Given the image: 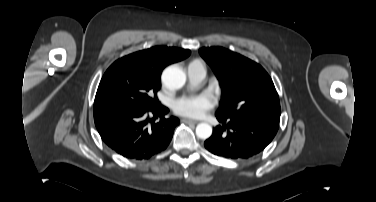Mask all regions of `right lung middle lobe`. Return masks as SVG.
<instances>
[{"instance_id":"1","label":"right lung middle lobe","mask_w":376,"mask_h":202,"mask_svg":"<svg viewBox=\"0 0 376 202\" xmlns=\"http://www.w3.org/2000/svg\"><path fill=\"white\" fill-rule=\"evenodd\" d=\"M160 77L133 59L123 57L105 72L99 84L94 112L112 107L149 109L157 105Z\"/></svg>"}]
</instances>
